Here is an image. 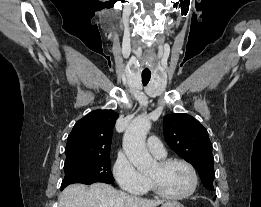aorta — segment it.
<instances>
[{
	"label": "aorta",
	"mask_w": 261,
	"mask_h": 207,
	"mask_svg": "<svg viewBox=\"0 0 261 207\" xmlns=\"http://www.w3.org/2000/svg\"><path fill=\"white\" fill-rule=\"evenodd\" d=\"M151 128V122L147 117L135 118L123 136V149L129 161L141 172L150 169L155 161L145 146L147 133Z\"/></svg>",
	"instance_id": "1"
}]
</instances>
